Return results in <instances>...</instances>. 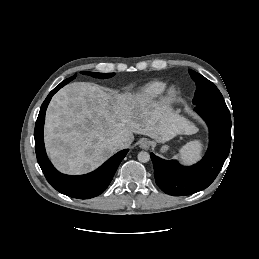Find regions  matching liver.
<instances>
[{"mask_svg": "<svg viewBox=\"0 0 259 259\" xmlns=\"http://www.w3.org/2000/svg\"><path fill=\"white\" fill-rule=\"evenodd\" d=\"M194 132V127L168 104L74 82L52 98L44 138L54 166L63 173L78 175L96 169L120 149L110 142L115 135L124 137L127 147L134 133L165 143L178 134Z\"/></svg>", "mask_w": 259, "mask_h": 259, "instance_id": "liver-1", "label": "liver"}]
</instances>
